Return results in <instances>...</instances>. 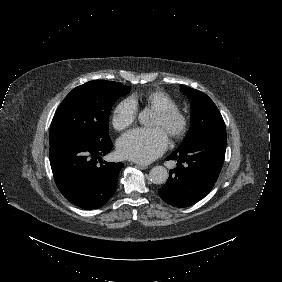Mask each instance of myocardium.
<instances>
[{
    "mask_svg": "<svg viewBox=\"0 0 282 282\" xmlns=\"http://www.w3.org/2000/svg\"><path fill=\"white\" fill-rule=\"evenodd\" d=\"M156 114L161 118L162 126L169 136L178 137L185 131L186 118L177 109H161Z\"/></svg>",
    "mask_w": 282,
    "mask_h": 282,
    "instance_id": "f54148a6",
    "label": "myocardium"
}]
</instances>
